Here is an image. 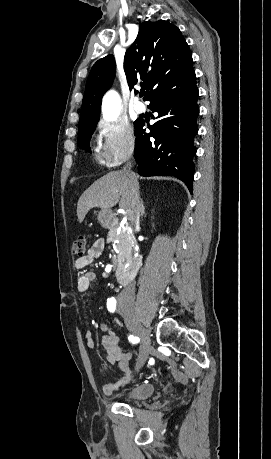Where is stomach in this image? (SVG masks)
Wrapping results in <instances>:
<instances>
[{"instance_id":"0dacf381","label":"stomach","mask_w":271,"mask_h":459,"mask_svg":"<svg viewBox=\"0 0 271 459\" xmlns=\"http://www.w3.org/2000/svg\"><path fill=\"white\" fill-rule=\"evenodd\" d=\"M114 218V214H112V212H110V210H101V212H99L98 214V220L99 222H105V224H107V226H109V224H111L112 220Z\"/></svg>"}]
</instances>
